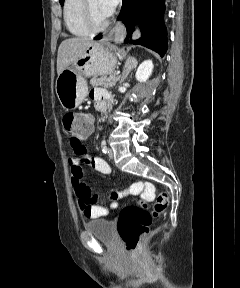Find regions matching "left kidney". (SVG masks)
Returning a JSON list of instances; mask_svg holds the SVG:
<instances>
[{
	"label": "left kidney",
	"mask_w": 240,
	"mask_h": 288,
	"mask_svg": "<svg viewBox=\"0 0 240 288\" xmlns=\"http://www.w3.org/2000/svg\"><path fill=\"white\" fill-rule=\"evenodd\" d=\"M153 71V62L151 60L143 61L136 71V79L139 82H146Z\"/></svg>",
	"instance_id": "5707ae66"
}]
</instances>
